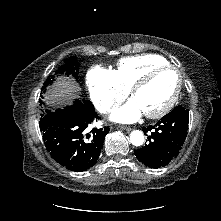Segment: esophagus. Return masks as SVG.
Instances as JSON below:
<instances>
[{
  "label": "esophagus",
  "instance_id": "1",
  "mask_svg": "<svg viewBox=\"0 0 221 221\" xmlns=\"http://www.w3.org/2000/svg\"><path fill=\"white\" fill-rule=\"evenodd\" d=\"M120 129L125 130V131H131L132 128L130 126H119Z\"/></svg>",
  "mask_w": 221,
  "mask_h": 221
}]
</instances>
